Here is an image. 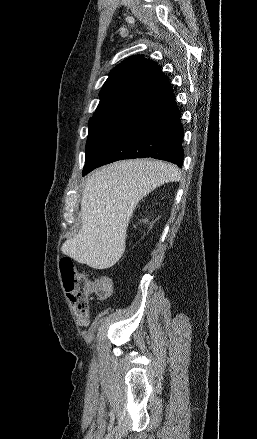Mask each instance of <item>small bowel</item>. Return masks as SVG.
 Segmentation results:
<instances>
[{
	"label": "small bowel",
	"instance_id": "small-bowel-1",
	"mask_svg": "<svg viewBox=\"0 0 257 439\" xmlns=\"http://www.w3.org/2000/svg\"><path fill=\"white\" fill-rule=\"evenodd\" d=\"M77 322L81 326H87L89 324V318L88 317H77Z\"/></svg>",
	"mask_w": 257,
	"mask_h": 439
}]
</instances>
